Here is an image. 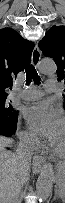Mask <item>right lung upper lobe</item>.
<instances>
[{
  "instance_id": "1",
  "label": "right lung upper lobe",
  "mask_w": 65,
  "mask_h": 203,
  "mask_svg": "<svg viewBox=\"0 0 65 203\" xmlns=\"http://www.w3.org/2000/svg\"><path fill=\"white\" fill-rule=\"evenodd\" d=\"M33 49L34 43L14 29L0 30V98H7L13 79L31 62Z\"/></svg>"
}]
</instances>
